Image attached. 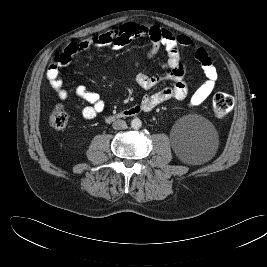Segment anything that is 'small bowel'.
Instances as JSON below:
<instances>
[{
  "label": "small bowel",
  "mask_w": 267,
  "mask_h": 267,
  "mask_svg": "<svg viewBox=\"0 0 267 267\" xmlns=\"http://www.w3.org/2000/svg\"><path fill=\"white\" fill-rule=\"evenodd\" d=\"M139 37H146L151 41V47L146 53L149 59L154 58L162 46L165 47L167 53V59L162 65L166 70L163 76H156L148 71H142L136 75L137 84L145 90H153L160 84L167 83L165 87L143 96L140 102L143 111H151L167 100H183L187 97L189 90L184 81L186 68L181 61V48H189L194 51V56L201 63L206 77L202 85L191 95L189 106H199L211 95L216 87L218 72L206 50L198 47L187 36H176L156 25H144L138 22L125 23L116 29L81 42L70 43L49 66L46 73L47 80L58 97L66 100L69 97V91L64 87L60 69L67 66L74 55L89 48L110 47L118 50L132 39ZM74 93L87 103L86 105L74 104V107L81 112L85 119H93L104 111L105 103L98 93L88 90L84 85L76 86Z\"/></svg>",
  "instance_id": "1"
}]
</instances>
